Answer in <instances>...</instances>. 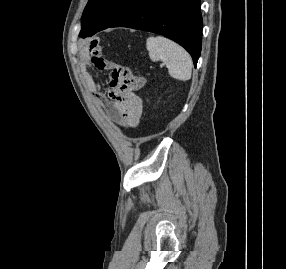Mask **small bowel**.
<instances>
[{
  "mask_svg": "<svg viewBox=\"0 0 286 269\" xmlns=\"http://www.w3.org/2000/svg\"><path fill=\"white\" fill-rule=\"evenodd\" d=\"M86 56L91 58V62L83 64L84 80L95 97L97 105L104 110L111 122L121 128L128 129L136 127L143 110H123L122 95H119L116 88H113L112 77L114 76L110 78L108 97H105L102 94L103 83L89 73L90 68L110 70L113 66L112 62L104 59L101 47L97 41L91 42L86 48L84 57ZM135 78L143 77L137 76Z\"/></svg>",
  "mask_w": 286,
  "mask_h": 269,
  "instance_id": "obj_1",
  "label": "small bowel"
}]
</instances>
